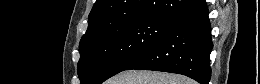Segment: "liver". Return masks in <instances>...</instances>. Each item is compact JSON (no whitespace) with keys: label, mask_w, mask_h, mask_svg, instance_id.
<instances>
[{"label":"liver","mask_w":260,"mask_h":84,"mask_svg":"<svg viewBox=\"0 0 260 84\" xmlns=\"http://www.w3.org/2000/svg\"><path fill=\"white\" fill-rule=\"evenodd\" d=\"M111 84H193L185 76L155 71H123L116 75Z\"/></svg>","instance_id":"1"}]
</instances>
